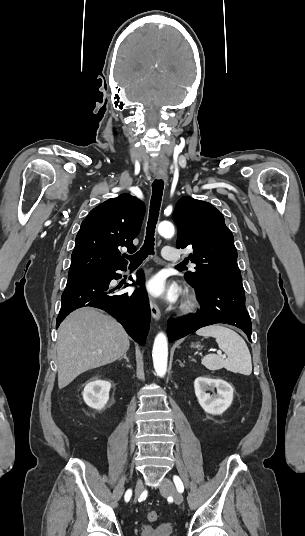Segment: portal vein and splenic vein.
Masks as SVG:
<instances>
[{
    "label": "portal vein and splenic vein",
    "mask_w": 305,
    "mask_h": 536,
    "mask_svg": "<svg viewBox=\"0 0 305 536\" xmlns=\"http://www.w3.org/2000/svg\"><path fill=\"white\" fill-rule=\"evenodd\" d=\"M217 354H219V356H221L222 352H220V350H218ZM222 358H226V356H222Z\"/></svg>",
    "instance_id": "obj_1"
}]
</instances>
